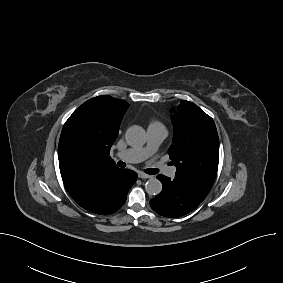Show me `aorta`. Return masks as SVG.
I'll return each mask as SVG.
<instances>
[{
    "mask_svg": "<svg viewBox=\"0 0 283 283\" xmlns=\"http://www.w3.org/2000/svg\"><path fill=\"white\" fill-rule=\"evenodd\" d=\"M125 139L130 146H142L146 142V132L138 125L129 127ZM145 190L149 195H158L162 190V183L156 178H150L145 184Z\"/></svg>",
    "mask_w": 283,
    "mask_h": 283,
    "instance_id": "762f6f07",
    "label": "aorta"
}]
</instances>
